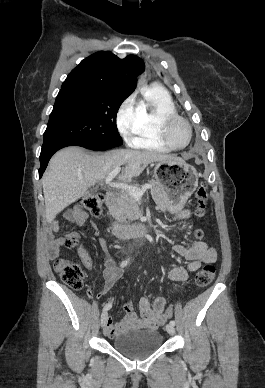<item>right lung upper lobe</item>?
Segmentation results:
<instances>
[{
	"label": "right lung upper lobe",
	"instance_id": "1",
	"mask_svg": "<svg viewBox=\"0 0 265 388\" xmlns=\"http://www.w3.org/2000/svg\"><path fill=\"white\" fill-rule=\"evenodd\" d=\"M144 69V62L135 55L120 59L109 51H100L71 71L60 92H115L129 96L136 87V76Z\"/></svg>",
	"mask_w": 265,
	"mask_h": 388
}]
</instances>
